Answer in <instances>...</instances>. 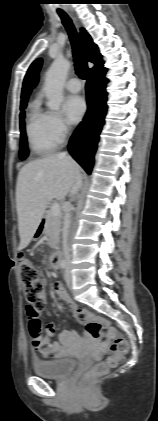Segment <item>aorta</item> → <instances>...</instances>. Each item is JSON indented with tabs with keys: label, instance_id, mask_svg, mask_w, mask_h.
Instances as JSON below:
<instances>
[{
	"label": "aorta",
	"instance_id": "aorta-1",
	"mask_svg": "<svg viewBox=\"0 0 158 421\" xmlns=\"http://www.w3.org/2000/svg\"><path fill=\"white\" fill-rule=\"evenodd\" d=\"M71 63L65 59L54 60L48 69L43 91L48 98V107L58 111L63 100V86L69 72Z\"/></svg>",
	"mask_w": 158,
	"mask_h": 421
}]
</instances>
